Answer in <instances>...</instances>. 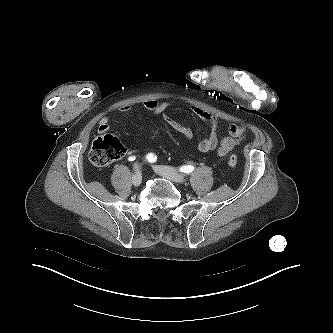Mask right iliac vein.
Wrapping results in <instances>:
<instances>
[{
    "label": "right iliac vein",
    "mask_w": 333,
    "mask_h": 333,
    "mask_svg": "<svg viewBox=\"0 0 333 333\" xmlns=\"http://www.w3.org/2000/svg\"><path fill=\"white\" fill-rule=\"evenodd\" d=\"M132 183L134 186H139L142 183V173L140 170L133 175Z\"/></svg>",
    "instance_id": "1"
}]
</instances>
